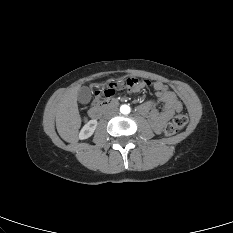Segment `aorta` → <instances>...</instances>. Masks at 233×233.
Wrapping results in <instances>:
<instances>
[{
    "label": "aorta",
    "instance_id": "762f6f07",
    "mask_svg": "<svg viewBox=\"0 0 233 233\" xmlns=\"http://www.w3.org/2000/svg\"><path fill=\"white\" fill-rule=\"evenodd\" d=\"M120 112L122 113V114H129L130 113V107L128 106V105H122L121 107H120Z\"/></svg>",
    "mask_w": 233,
    "mask_h": 233
}]
</instances>
